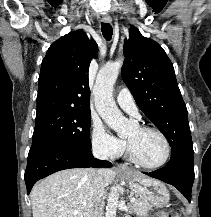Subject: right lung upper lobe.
Masks as SVG:
<instances>
[{
    "mask_svg": "<svg viewBox=\"0 0 211 217\" xmlns=\"http://www.w3.org/2000/svg\"><path fill=\"white\" fill-rule=\"evenodd\" d=\"M98 47L82 30L55 41L41 64L36 118L58 112H90L88 70Z\"/></svg>",
    "mask_w": 211,
    "mask_h": 217,
    "instance_id": "1",
    "label": "right lung upper lobe"
}]
</instances>
